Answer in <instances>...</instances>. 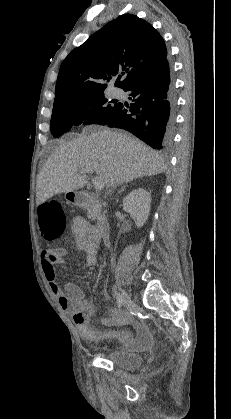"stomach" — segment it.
<instances>
[{
  "instance_id": "obj_1",
  "label": "stomach",
  "mask_w": 231,
  "mask_h": 419,
  "mask_svg": "<svg viewBox=\"0 0 231 419\" xmlns=\"http://www.w3.org/2000/svg\"><path fill=\"white\" fill-rule=\"evenodd\" d=\"M68 203L79 204V196L76 192H68L65 194Z\"/></svg>"
}]
</instances>
